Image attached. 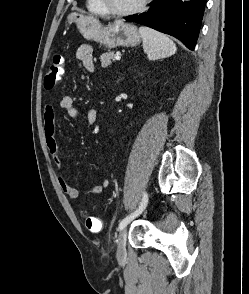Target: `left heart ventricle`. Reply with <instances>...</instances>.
<instances>
[{"mask_svg":"<svg viewBox=\"0 0 249 294\" xmlns=\"http://www.w3.org/2000/svg\"><path fill=\"white\" fill-rule=\"evenodd\" d=\"M106 4L114 10H127L136 6L141 0H105Z\"/></svg>","mask_w":249,"mask_h":294,"instance_id":"1","label":"left heart ventricle"}]
</instances>
